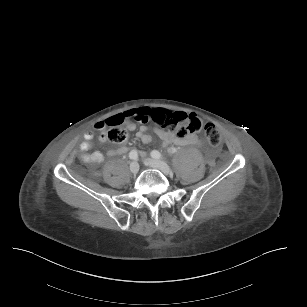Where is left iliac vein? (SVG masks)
<instances>
[{
	"label": "left iliac vein",
	"instance_id": "4c4485c4",
	"mask_svg": "<svg viewBox=\"0 0 307 307\" xmlns=\"http://www.w3.org/2000/svg\"><path fill=\"white\" fill-rule=\"evenodd\" d=\"M145 162L151 168L158 169L165 174L171 173L170 167L164 161L155 160V159H147Z\"/></svg>",
	"mask_w": 307,
	"mask_h": 307
}]
</instances>
